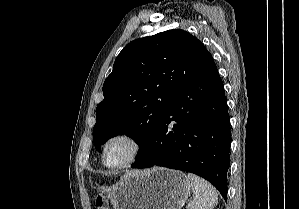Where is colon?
Wrapping results in <instances>:
<instances>
[{
    "instance_id": "5ec220e1",
    "label": "colon",
    "mask_w": 299,
    "mask_h": 209,
    "mask_svg": "<svg viewBox=\"0 0 299 209\" xmlns=\"http://www.w3.org/2000/svg\"><path fill=\"white\" fill-rule=\"evenodd\" d=\"M96 209H107L104 204L101 197L96 198Z\"/></svg>"
}]
</instances>
